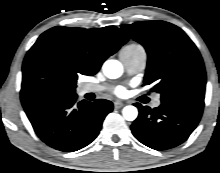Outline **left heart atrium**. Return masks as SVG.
Returning <instances> with one entry per match:
<instances>
[{
    "label": "left heart atrium",
    "mask_w": 220,
    "mask_h": 173,
    "mask_svg": "<svg viewBox=\"0 0 220 173\" xmlns=\"http://www.w3.org/2000/svg\"><path fill=\"white\" fill-rule=\"evenodd\" d=\"M114 93L117 95V96H124L126 94V89L124 87H117L115 90H114Z\"/></svg>",
    "instance_id": "obj_1"
}]
</instances>
